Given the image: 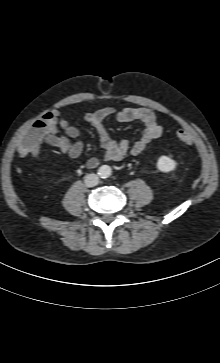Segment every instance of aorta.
I'll return each mask as SVG.
<instances>
[{
  "mask_svg": "<svg viewBox=\"0 0 220 363\" xmlns=\"http://www.w3.org/2000/svg\"><path fill=\"white\" fill-rule=\"evenodd\" d=\"M112 171H111V167L108 165H103L99 168V175L102 178H107L111 175Z\"/></svg>",
  "mask_w": 220,
  "mask_h": 363,
  "instance_id": "1",
  "label": "aorta"
}]
</instances>
